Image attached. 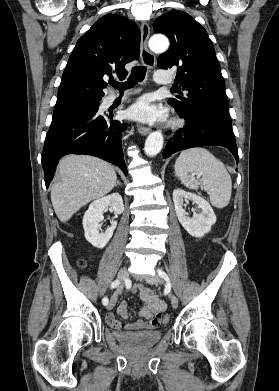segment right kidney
<instances>
[{
    "mask_svg": "<svg viewBox=\"0 0 279 391\" xmlns=\"http://www.w3.org/2000/svg\"><path fill=\"white\" fill-rule=\"evenodd\" d=\"M108 207L114 211L115 214H122L124 205L122 197L119 193H112L108 196L102 197L93 201L83 217V228L85 238L96 248H104L113 236V232L117 227V221H113L111 226L104 232L99 231V223L104 219L103 212Z\"/></svg>",
    "mask_w": 279,
    "mask_h": 391,
    "instance_id": "1",
    "label": "right kidney"
}]
</instances>
